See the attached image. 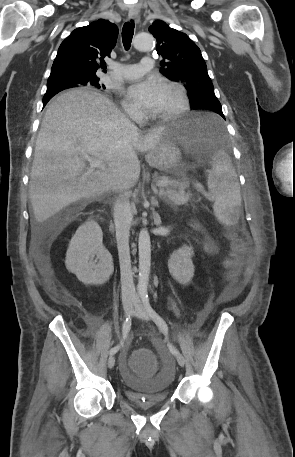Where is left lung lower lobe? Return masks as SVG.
Here are the masks:
<instances>
[{"instance_id":"obj_1","label":"left lung lower lobe","mask_w":295,"mask_h":457,"mask_svg":"<svg viewBox=\"0 0 295 457\" xmlns=\"http://www.w3.org/2000/svg\"><path fill=\"white\" fill-rule=\"evenodd\" d=\"M197 109H207V110L213 111V112L219 114L220 116H222L225 119V117L223 115V112H222L221 104L204 102V103L200 104L197 107ZM206 129L210 134H214L215 133V128H214L212 123H207Z\"/></svg>"}]
</instances>
